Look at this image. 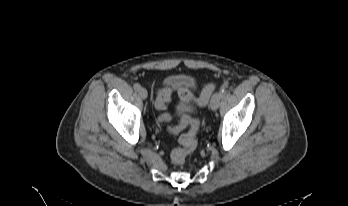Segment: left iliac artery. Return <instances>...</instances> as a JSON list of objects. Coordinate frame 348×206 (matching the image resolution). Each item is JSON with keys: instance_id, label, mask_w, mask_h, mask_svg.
I'll return each instance as SVG.
<instances>
[{"instance_id": "44dca946", "label": "left iliac artery", "mask_w": 348, "mask_h": 206, "mask_svg": "<svg viewBox=\"0 0 348 206\" xmlns=\"http://www.w3.org/2000/svg\"><path fill=\"white\" fill-rule=\"evenodd\" d=\"M226 92H227L226 88L225 87H221L220 92H219L220 93V97L223 98L225 96Z\"/></svg>"}]
</instances>
